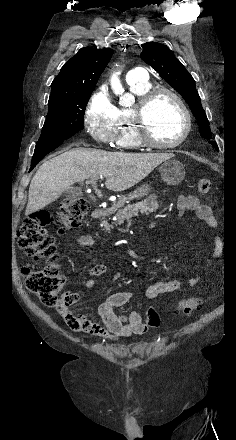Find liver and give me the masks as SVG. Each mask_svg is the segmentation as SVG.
<instances>
[{
	"mask_svg": "<svg viewBox=\"0 0 236 440\" xmlns=\"http://www.w3.org/2000/svg\"><path fill=\"white\" fill-rule=\"evenodd\" d=\"M172 153H124L73 148L43 163L31 180L25 215L28 216L56 201L72 184L98 177L106 179L107 189L125 191Z\"/></svg>",
	"mask_w": 236,
	"mask_h": 440,
	"instance_id": "1",
	"label": "liver"
}]
</instances>
